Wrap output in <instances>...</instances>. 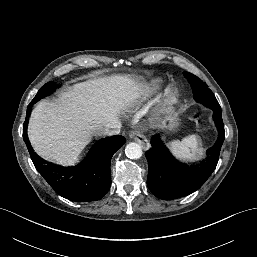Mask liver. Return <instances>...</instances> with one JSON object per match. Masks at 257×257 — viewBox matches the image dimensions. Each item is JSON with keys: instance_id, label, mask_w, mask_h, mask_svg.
<instances>
[{"instance_id": "1", "label": "liver", "mask_w": 257, "mask_h": 257, "mask_svg": "<svg viewBox=\"0 0 257 257\" xmlns=\"http://www.w3.org/2000/svg\"><path fill=\"white\" fill-rule=\"evenodd\" d=\"M143 94V85L129 75H112L75 84L55 102L32 111L28 136L34 150L59 164L73 163L91 138Z\"/></svg>"}]
</instances>
